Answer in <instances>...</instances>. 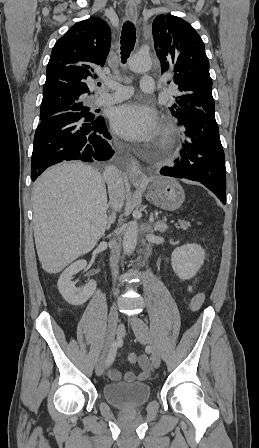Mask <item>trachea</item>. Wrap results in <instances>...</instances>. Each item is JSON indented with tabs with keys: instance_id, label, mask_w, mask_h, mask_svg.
<instances>
[{
	"instance_id": "1",
	"label": "trachea",
	"mask_w": 259,
	"mask_h": 448,
	"mask_svg": "<svg viewBox=\"0 0 259 448\" xmlns=\"http://www.w3.org/2000/svg\"><path fill=\"white\" fill-rule=\"evenodd\" d=\"M136 41V30L135 26L131 22H125L122 27V35H121V58L122 62L125 63L130 53L132 52ZM98 87L101 86V83H97Z\"/></svg>"
}]
</instances>
